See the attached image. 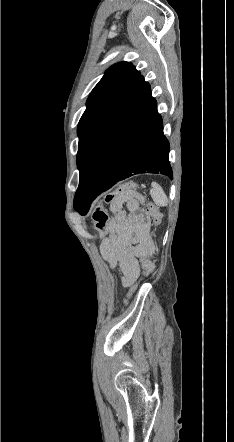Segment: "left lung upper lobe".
<instances>
[{"label":"left lung upper lobe","instance_id":"1","mask_svg":"<svg viewBox=\"0 0 234 442\" xmlns=\"http://www.w3.org/2000/svg\"><path fill=\"white\" fill-rule=\"evenodd\" d=\"M140 72L129 62L111 66L92 90L86 103V110L78 124L79 167L84 147L98 126L107 118L139 78Z\"/></svg>","mask_w":234,"mask_h":442}]
</instances>
